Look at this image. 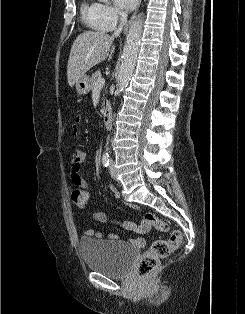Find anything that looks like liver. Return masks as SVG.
Segmentation results:
<instances>
[{
	"label": "liver",
	"instance_id": "1",
	"mask_svg": "<svg viewBox=\"0 0 245 314\" xmlns=\"http://www.w3.org/2000/svg\"><path fill=\"white\" fill-rule=\"evenodd\" d=\"M114 37L100 31H86L75 39L67 65V78L70 87L90 68L112 58L115 47L112 46ZM111 53L110 52V48Z\"/></svg>",
	"mask_w": 245,
	"mask_h": 314
}]
</instances>
